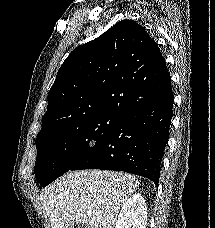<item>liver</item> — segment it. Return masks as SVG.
<instances>
[{"mask_svg": "<svg viewBox=\"0 0 215 228\" xmlns=\"http://www.w3.org/2000/svg\"><path fill=\"white\" fill-rule=\"evenodd\" d=\"M139 188L125 172H67L40 194L50 228H114L125 200Z\"/></svg>", "mask_w": 215, "mask_h": 228, "instance_id": "6515ba94", "label": "liver"}]
</instances>
